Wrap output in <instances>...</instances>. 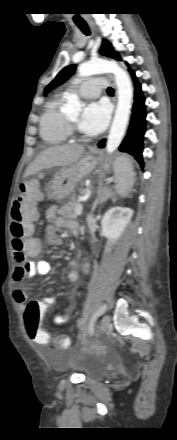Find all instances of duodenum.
I'll use <instances>...</instances> for the list:
<instances>
[{
	"instance_id": "duodenum-1",
	"label": "duodenum",
	"mask_w": 177,
	"mask_h": 440,
	"mask_svg": "<svg viewBox=\"0 0 177 440\" xmlns=\"http://www.w3.org/2000/svg\"><path fill=\"white\" fill-rule=\"evenodd\" d=\"M72 231H73V233H74V234H76V235H77V234H79V232H80V230H79V227H78V226H77V227H75V228H73V230H72Z\"/></svg>"
}]
</instances>
